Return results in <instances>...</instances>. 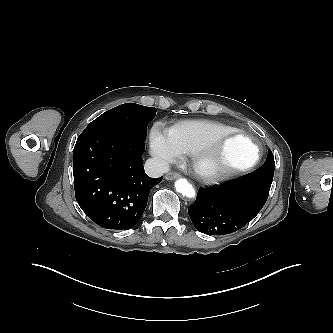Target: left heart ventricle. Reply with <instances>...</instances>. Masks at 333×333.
Listing matches in <instances>:
<instances>
[{"mask_svg": "<svg viewBox=\"0 0 333 333\" xmlns=\"http://www.w3.org/2000/svg\"><path fill=\"white\" fill-rule=\"evenodd\" d=\"M255 154L254 146L244 138L236 137L226 140L206 167L224 165H242L252 159Z\"/></svg>", "mask_w": 333, "mask_h": 333, "instance_id": "left-heart-ventricle-1", "label": "left heart ventricle"}]
</instances>
